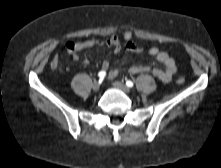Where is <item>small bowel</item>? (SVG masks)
Instances as JSON below:
<instances>
[{"mask_svg": "<svg viewBox=\"0 0 221 168\" xmlns=\"http://www.w3.org/2000/svg\"><path fill=\"white\" fill-rule=\"evenodd\" d=\"M100 44L99 41L94 39H89L82 42H67L65 47L67 51L73 55L74 59H78V53L83 51L86 48H91L95 45ZM106 45L112 46L115 53H119L122 50V45L118 36H111L106 42ZM126 50L131 53H141L143 51L142 46L132 42H126L125 44ZM148 54L153 56L157 62L163 65V69L157 67L150 66H142V65H133L129 68V72L132 74H139L144 72H151L153 76L159 79L162 82H170L173 75L177 71V66L175 60L165 51L160 50L157 47H152L148 50ZM89 60L87 57L83 58V63L88 64ZM102 71L107 73L109 79H112L120 73V67L116 66L114 68H110V63L108 60H104L102 62Z\"/></svg>", "mask_w": 221, "mask_h": 168, "instance_id": "1", "label": "small bowel"}]
</instances>
